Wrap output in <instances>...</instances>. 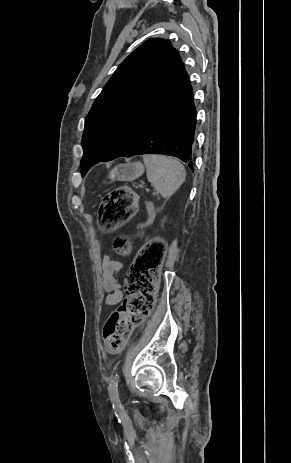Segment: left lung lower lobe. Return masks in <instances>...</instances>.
<instances>
[{
    "instance_id": "0a47b994",
    "label": "left lung lower lobe",
    "mask_w": 291,
    "mask_h": 463,
    "mask_svg": "<svg viewBox=\"0 0 291 463\" xmlns=\"http://www.w3.org/2000/svg\"><path fill=\"white\" fill-rule=\"evenodd\" d=\"M195 129L196 109L193 90L189 84L179 94L172 107L144 134L143 138L121 156L169 155L179 158L193 169ZM101 161L110 160L102 158L99 162Z\"/></svg>"
}]
</instances>
